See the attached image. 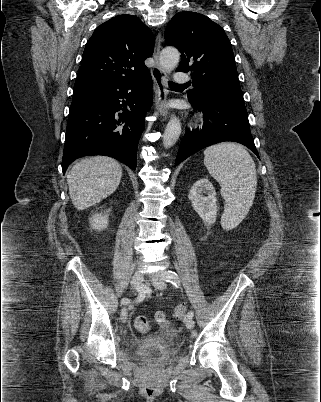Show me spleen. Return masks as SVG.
<instances>
[{
	"label": "spleen",
	"mask_w": 321,
	"mask_h": 402,
	"mask_svg": "<svg viewBox=\"0 0 321 402\" xmlns=\"http://www.w3.org/2000/svg\"><path fill=\"white\" fill-rule=\"evenodd\" d=\"M204 164L221 186L225 200L222 227L231 229L246 216L255 198V163L241 145L225 142L205 149Z\"/></svg>",
	"instance_id": "spleen-1"
}]
</instances>
